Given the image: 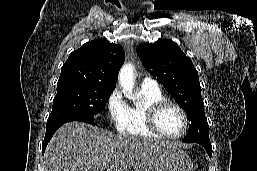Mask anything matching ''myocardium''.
I'll return each instance as SVG.
<instances>
[{"mask_svg": "<svg viewBox=\"0 0 257 171\" xmlns=\"http://www.w3.org/2000/svg\"><path fill=\"white\" fill-rule=\"evenodd\" d=\"M167 106H173L174 108H176L180 112L183 118L184 128L182 132L178 135H167L164 132H162L158 126L159 113ZM146 123H147V127L151 132H153L160 138L169 139V140H176L183 137L187 133L189 128V119L186 111L183 109L181 105L169 99H163V100L157 101L148 107Z\"/></svg>", "mask_w": 257, "mask_h": 171, "instance_id": "f54148a6", "label": "myocardium"}]
</instances>
